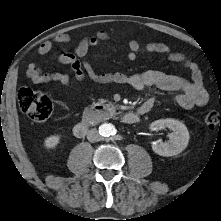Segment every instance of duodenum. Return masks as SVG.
<instances>
[{"instance_id":"1","label":"duodenum","mask_w":221,"mask_h":221,"mask_svg":"<svg viewBox=\"0 0 221 221\" xmlns=\"http://www.w3.org/2000/svg\"><path fill=\"white\" fill-rule=\"evenodd\" d=\"M97 108H101V107H97ZM140 114L142 113L141 112L137 113L133 111L126 112L121 118L122 122L124 124H129V125L136 124L139 121ZM89 127H90V122L88 120L78 122L74 126V129H73L74 136L77 138L85 137L89 130Z\"/></svg>"}]
</instances>
